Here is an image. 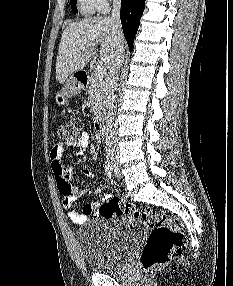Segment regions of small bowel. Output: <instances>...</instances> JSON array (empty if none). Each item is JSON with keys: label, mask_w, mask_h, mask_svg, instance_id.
Returning a JSON list of instances; mask_svg holds the SVG:
<instances>
[{"label": "small bowel", "mask_w": 233, "mask_h": 286, "mask_svg": "<svg viewBox=\"0 0 233 286\" xmlns=\"http://www.w3.org/2000/svg\"><path fill=\"white\" fill-rule=\"evenodd\" d=\"M89 134L84 132L80 135L79 139L73 143L78 149V154L83 155L89 147ZM66 148V143H56L50 151V161L53 176L56 181L58 191L63 197L62 205L67 210L69 219L75 224H84L96 215L97 203H88L84 206L83 212L78 213L71 210V206L75 200L85 194L86 189L79 188L71 182V178L63 162V155ZM108 184H113L109 179H106ZM108 198V195L105 196Z\"/></svg>", "instance_id": "obj_1"}]
</instances>
